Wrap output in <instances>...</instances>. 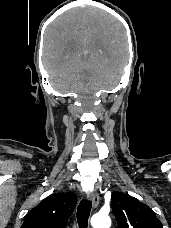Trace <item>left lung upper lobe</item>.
I'll use <instances>...</instances> for the list:
<instances>
[{
  "label": "left lung upper lobe",
  "instance_id": "5c2ea615",
  "mask_svg": "<svg viewBox=\"0 0 171 228\" xmlns=\"http://www.w3.org/2000/svg\"><path fill=\"white\" fill-rule=\"evenodd\" d=\"M111 203L119 228H163L152 209L130 195L114 192Z\"/></svg>",
  "mask_w": 171,
  "mask_h": 228
}]
</instances>
